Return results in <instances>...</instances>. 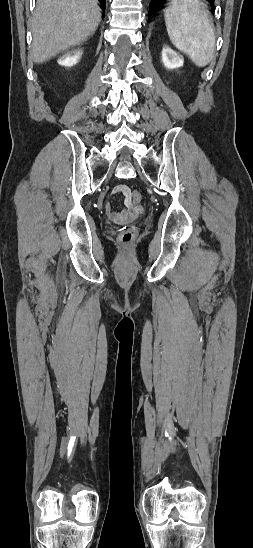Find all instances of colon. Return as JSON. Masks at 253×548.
Wrapping results in <instances>:
<instances>
[{
  "instance_id": "obj_1",
  "label": "colon",
  "mask_w": 253,
  "mask_h": 548,
  "mask_svg": "<svg viewBox=\"0 0 253 548\" xmlns=\"http://www.w3.org/2000/svg\"><path fill=\"white\" fill-rule=\"evenodd\" d=\"M131 201L134 204H139L142 200V194L139 191H133L130 194ZM135 235L131 229H124L119 235V242L123 247H131L134 243Z\"/></svg>"
}]
</instances>
